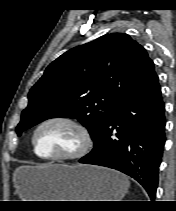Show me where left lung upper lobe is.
<instances>
[{"label": "left lung upper lobe", "mask_w": 176, "mask_h": 211, "mask_svg": "<svg viewBox=\"0 0 176 211\" xmlns=\"http://www.w3.org/2000/svg\"><path fill=\"white\" fill-rule=\"evenodd\" d=\"M158 81L146 50L124 33L106 34L53 61L31 88L18 136L52 117L78 119L94 144L116 108Z\"/></svg>", "instance_id": "5c2ea615"}]
</instances>
